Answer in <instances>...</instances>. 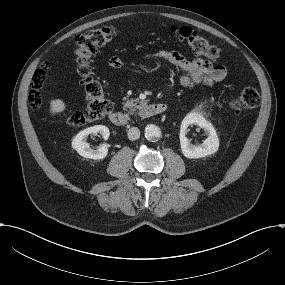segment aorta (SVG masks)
<instances>
[{
    "label": "aorta",
    "mask_w": 285,
    "mask_h": 285,
    "mask_svg": "<svg viewBox=\"0 0 285 285\" xmlns=\"http://www.w3.org/2000/svg\"><path fill=\"white\" fill-rule=\"evenodd\" d=\"M161 136V130L154 124L147 125L145 128V137L147 140H157Z\"/></svg>",
    "instance_id": "762f6f07"
}]
</instances>
